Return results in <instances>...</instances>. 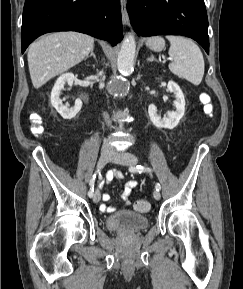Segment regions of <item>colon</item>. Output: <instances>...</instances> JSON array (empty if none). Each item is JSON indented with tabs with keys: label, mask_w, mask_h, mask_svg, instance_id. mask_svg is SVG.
<instances>
[{
	"label": "colon",
	"mask_w": 243,
	"mask_h": 289,
	"mask_svg": "<svg viewBox=\"0 0 243 289\" xmlns=\"http://www.w3.org/2000/svg\"><path fill=\"white\" fill-rule=\"evenodd\" d=\"M201 99L205 105L206 113H208V114L212 113L214 108H213V105L211 103L210 96L208 94H203ZM30 131L33 135H36V136H40L44 132V127L42 124V118L37 113H32L30 115ZM134 209L140 213L148 212L150 209V203L146 200H137L134 203Z\"/></svg>",
	"instance_id": "colon-1"
}]
</instances>
